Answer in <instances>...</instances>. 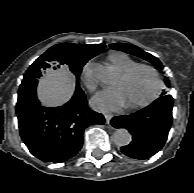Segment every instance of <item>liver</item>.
<instances>
[{
	"label": "liver",
	"mask_w": 194,
	"mask_h": 193,
	"mask_svg": "<svg viewBox=\"0 0 194 193\" xmlns=\"http://www.w3.org/2000/svg\"><path fill=\"white\" fill-rule=\"evenodd\" d=\"M73 91L74 81L66 70L59 73L49 72L46 78L40 80L38 87L39 98L47 106H56L68 101Z\"/></svg>",
	"instance_id": "1"
}]
</instances>
